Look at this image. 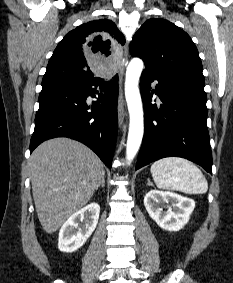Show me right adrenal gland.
Segmentation results:
<instances>
[{"instance_id":"1","label":"right adrenal gland","mask_w":233,"mask_h":283,"mask_svg":"<svg viewBox=\"0 0 233 283\" xmlns=\"http://www.w3.org/2000/svg\"><path fill=\"white\" fill-rule=\"evenodd\" d=\"M100 186L104 189V186H105V178H104V176L102 177L101 183H100V185L98 187H100Z\"/></svg>"}]
</instances>
